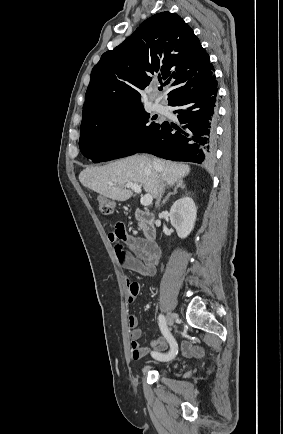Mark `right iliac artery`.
<instances>
[{"label": "right iliac artery", "mask_w": 283, "mask_h": 434, "mask_svg": "<svg viewBox=\"0 0 283 434\" xmlns=\"http://www.w3.org/2000/svg\"><path fill=\"white\" fill-rule=\"evenodd\" d=\"M158 323H159V327H160L162 334L169 340L172 350L167 354L153 353L152 357L156 360H159V361H169V360L173 359L176 355V353L173 351L174 344H175L174 339L167 328L166 318L164 315H162V314L159 315Z\"/></svg>", "instance_id": "obj_1"}]
</instances>
